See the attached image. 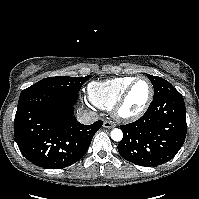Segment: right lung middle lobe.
<instances>
[{
	"mask_svg": "<svg viewBox=\"0 0 199 199\" xmlns=\"http://www.w3.org/2000/svg\"><path fill=\"white\" fill-rule=\"evenodd\" d=\"M91 76L85 77H49L44 78L32 86L24 89L20 95L30 93V92H43L50 94H60L78 97L81 86L85 83Z\"/></svg>",
	"mask_w": 199,
	"mask_h": 199,
	"instance_id": "right-lung-middle-lobe-1",
	"label": "right lung middle lobe"
}]
</instances>
